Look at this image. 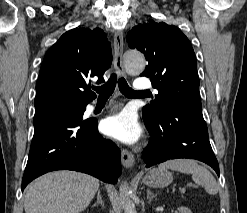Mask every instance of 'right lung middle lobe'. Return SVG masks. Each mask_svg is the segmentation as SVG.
<instances>
[{"instance_id": "dd1d6c3e", "label": "right lung middle lobe", "mask_w": 247, "mask_h": 213, "mask_svg": "<svg viewBox=\"0 0 247 213\" xmlns=\"http://www.w3.org/2000/svg\"><path fill=\"white\" fill-rule=\"evenodd\" d=\"M85 107L86 104L78 103L71 100H54L36 109L34 118L41 115H49L68 117L74 120L83 121L82 116L85 111Z\"/></svg>"}]
</instances>
